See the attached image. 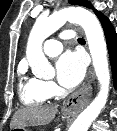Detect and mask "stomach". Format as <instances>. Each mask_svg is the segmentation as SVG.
I'll list each match as a JSON object with an SVG mask.
<instances>
[{"label": "stomach", "mask_w": 117, "mask_h": 131, "mask_svg": "<svg viewBox=\"0 0 117 131\" xmlns=\"http://www.w3.org/2000/svg\"><path fill=\"white\" fill-rule=\"evenodd\" d=\"M67 115L69 113H66ZM13 130H16V131H27L24 127H16V128H13Z\"/></svg>", "instance_id": "stomach-1"}]
</instances>
